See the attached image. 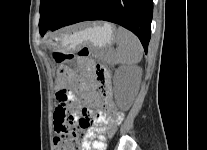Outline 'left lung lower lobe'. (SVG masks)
I'll return each instance as SVG.
<instances>
[{
  "instance_id": "1",
  "label": "left lung lower lobe",
  "mask_w": 207,
  "mask_h": 150,
  "mask_svg": "<svg viewBox=\"0 0 207 150\" xmlns=\"http://www.w3.org/2000/svg\"><path fill=\"white\" fill-rule=\"evenodd\" d=\"M152 14V0H76L51 30L86 20H105L132 31L147 52Z\"/></svg>"
}]
</instances>
